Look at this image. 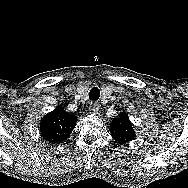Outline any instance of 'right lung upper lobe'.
Returning <instances> with one entry per match:
<instances>
[{
	"label": "right lung upper lobe",
	"instance_id": "cb5924a9",
	"mask_svg": "<svg viewBox=\"0 0 188 188\" xmlns=\"http://www.w3.org/2000/svg\"><path fill=\"white\" fill-rule=\"evenodd\" d=\"M76 122L75 115L66 112L62 107H56L41 119V136L51 143L63 142L72 133Z\"/></svg>",
	"mask_w": 188,
	"mask_h": 188
}]
</instances>
